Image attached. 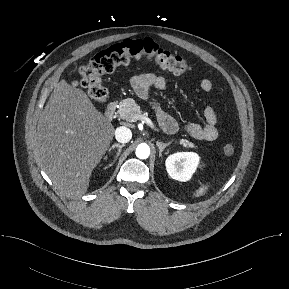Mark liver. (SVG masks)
I'll use <instances>...</instances> for the list:
<instances>
[{"mask_svg": "<svg viewBox=\"0 0 289 289\" xmlns=\"http://www.w3.org/2000/svg\"><path fill=\"white\" fill-rule=\"evenodd\" d=\"M113 135V125L86 93L61 80L40 115L35 156L62 193L78 197L87 192Z\"/></svg>", "mask_w": 289, "mask_h": 289, "instance_id": "6515ba94", "label": "liver"}]
</instances>
